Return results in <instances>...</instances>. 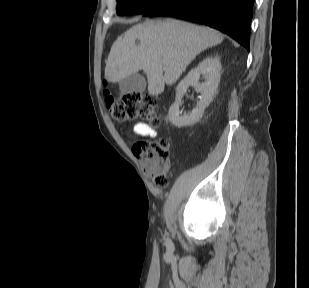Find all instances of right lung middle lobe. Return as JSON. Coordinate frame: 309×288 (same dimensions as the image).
<instances>
[{
    "label": "right lung middle lobe",
    "instance_id": "1",
    "mask_svg": "<svg viewBox=\"0 0 309 288\" xmlns=\"http://www.w3.org/2000/svg\"><path fill=\"white\" fill-rule=\"evenodd\" d=\"M162 0H117V14H141Z\"/></svg>",
    "mask_w": 309,
    "mask_h": 288
}]
</instances>
